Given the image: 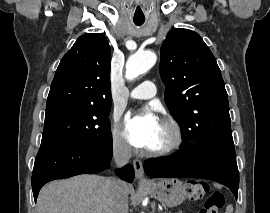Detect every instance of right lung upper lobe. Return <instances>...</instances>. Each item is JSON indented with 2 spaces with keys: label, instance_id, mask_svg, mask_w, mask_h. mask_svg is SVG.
<instances>
[{
  "label": "right lung upper lobe",
  "instance_id": "right-lung-upper-lobe-1",
  "mask_svg": "<svg viewBox=\"0 0 270 213\" xmlns=\"http://www.w3.org/2000/svg\"><path fill=\"white\" fill-rule=\"evenodd\" d=\"M60 104L111 106L110 46L103 34L80 36L63 56L46 108Z\"/></svg>",
  "mask_w": 270,
  "mask_h": 213
}]
</instances>
